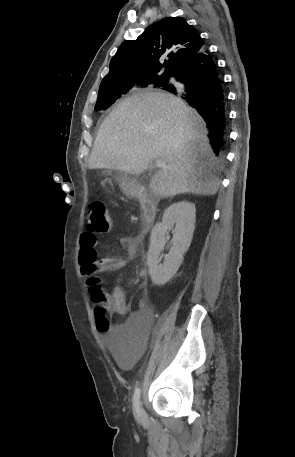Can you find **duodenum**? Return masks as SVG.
I'll return each mask as SVG.
<instances>
[{"label":"duodenum","instance_id":"duodenum-1","mask_svg":"<svg viewBox=\"0 0 295 457\" xmlns=\"http://www.w3.org/2000/svg\"><path fill=\"white\" fill-rule=\"evenodd\" d=\"M135 196L139 199L142 206L141 227L142 234H145L152 227L156 216V204L148 197L145 191L135 190Z\"/></svg>","mask_w":295,"mask_h":457}]
</instances>
